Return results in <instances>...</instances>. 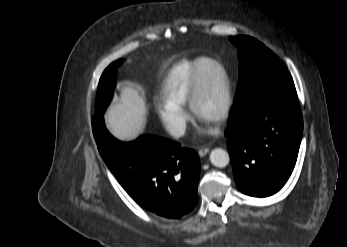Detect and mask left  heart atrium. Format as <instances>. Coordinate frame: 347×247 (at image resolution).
Wrapping results in <instances>:
<instances>
[{
	"instance_id": "left-heart-atrium-1",
	"label": "left heart atrium",
	"mask_w": 347,
	"mask_h": 247,
	"mask_svg": "<svg viewBox=\"0 0 347 247\" xmlns=\"http://www.w3.org/2000/svg\"><path fill=\"white\" fill-rule=\"evenodd\" d=\"M206 123H209V121H207V120H204Z\"/></svg>"
}]
</instances>
